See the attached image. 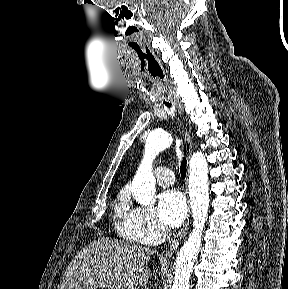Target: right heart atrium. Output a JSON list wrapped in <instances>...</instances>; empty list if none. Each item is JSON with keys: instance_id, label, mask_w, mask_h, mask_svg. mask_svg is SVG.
<instances>
[{"instance_id": "d8ad5b80", "label": "right heart atrium", "mask_w": 288, "mask_h": 289, "mask_svg": "<svg viewBox=\"0 0 288 289\" xmlns=\"http://www.w3.org/2000/svg\"><path fill=\"white\" fill-rule=\"evenodd\" d=\"M122 232L128 239L147 245L158 244L167 235V229L155 214L141 206L127 207Z\"/></svg>"}]
</instances>
